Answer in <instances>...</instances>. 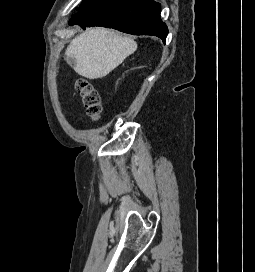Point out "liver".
I'll return each instance as SVG.
<instances>
[{
    "mask_svg": "<svg viewBox=\"0 0 255 272\" xmlns=\"http://www.w3.org/2000/svg\"><path fill=\"white\" fill-rule=\"evenodd\" d=\"M136 49L137 43L131 37L97 27L74 38L65 54L73 60L76 73L92 80L108 75Z\"/></svg>",
    "mask_w": 255,
    "mask_h": 272,
    "instance_id": "liver-1",
    "label": "liver"
}]
</instances>
